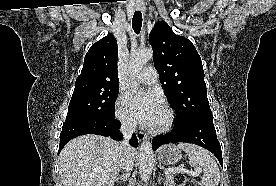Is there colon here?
<instances>
[{"label": "colon", "mask_w": 276, "mask_h": 186, "mask_svg": "<svg viewBox=\"0 0 276 186\" xmlns=\"http://www.w3.org/2000/svg\"><path fill=\"white\" fill-rule=\"evenodd\" d=\"M178 186H201L197 181L179 176L177 178Z\"/></svg>", "instance_id": "obj_1"}]
</instances>
